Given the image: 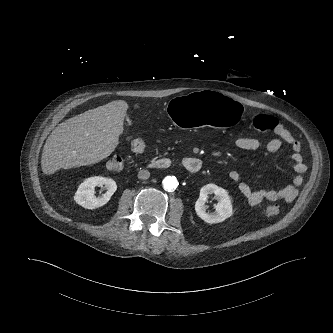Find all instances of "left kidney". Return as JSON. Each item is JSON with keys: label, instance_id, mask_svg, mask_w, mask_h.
<instances>
[{"label": "left kidney", "instance_id": "left-kidney-1", "mask_svg": "<svg viewBox=\"0 0 333 333\" xmlns=\"http://www.w3.org/2000/svg\"><path fill=\"white\" fill-rule=\"evenodd\" d=\"M215 194L218 200L214 213H207L205 202L209 194ZM196 214L206 223H220L233 214L232 203L227 191L215 184H207L200 190V196L195 203Z\"/></svg>", "mask_w": 333, "mask_h": 333}]
</instances>
